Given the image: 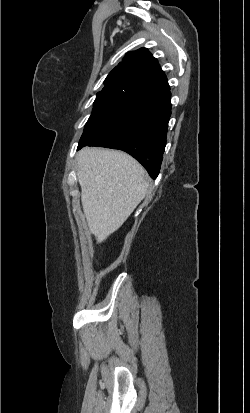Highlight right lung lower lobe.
Wrapping results in <instances>:
<instances>
[{"mask_svg":"<svg viewBox=\"0 0 250 413\" xmlns=\"http://www.w3.org/2000/svg\"><path fill=\"white\" fill-rule=\"evenodd\" d=\"M169 90L131 100L118 118L84 146L119 149L132 155L156 179L166 145L171 115ZM84 146L78 147V150Z\"/></svg>","mask_w":250,"mask_h":413,"instance_id":"98d812e1","label":"right lung lower lobe"}]
</instances>
